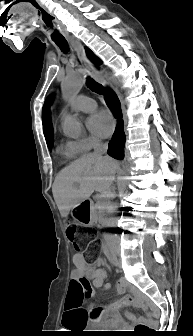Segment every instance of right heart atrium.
I'll return each instance as SVG.
<instances>
[{"label": "right heart atrium", "instance_id": "obj_1", "mask_svg": "<svg viewBox=\"0 0 193 336\" xmlns=\"http://www.w3.org/2000/svg\"><path fill=\"white\" fill-rule=\"evenodd\" d=\"M98 139L92 136H86L75 141H72L71 144L80 152L84 153L91 150L95 145L98 144Z\"/></svg>", "mask_w": 193, "mask_h": 336}]
</instances>
